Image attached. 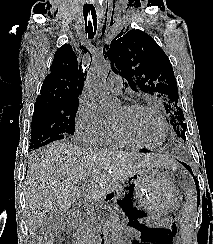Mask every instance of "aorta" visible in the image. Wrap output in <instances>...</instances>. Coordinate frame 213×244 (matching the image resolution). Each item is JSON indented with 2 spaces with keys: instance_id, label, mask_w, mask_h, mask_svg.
Here are the masks:
<instances>
[{
  "instance_id": "aorta-1",
  "label": "aorta",
  "mask_w": 213,
  "mask_h": 244,
  "mask_svg": "<svg viewBox=\"0 0 213 244\" xmlns=\"http://www.w3.org/2000/svg\"><path fill=\"white\" fill-rule=\"evenodd\" d=\"M111 64L108 60L100 59L95 61L87 75V89L91 102L103 117L115 115L119 108L120 102L113 98L103 87ZM110 242L112 244H125L120 224V207L117 204L112 205L110 209Z\"/></svg>"
}]
</instances>
